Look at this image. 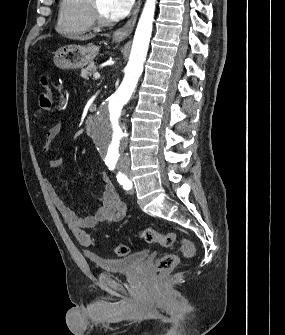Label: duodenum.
<instances>
[{
	"instance_id": "duodenum-1",
	"label": "duodenum",
	"mask_w": 285,
	"mask_h": 335,
	"mask_svg": "<svg viewBox=\"0 0 285 335\" xmlns=\"http://www.w3.org/2000/svg\"><path fill=\"white\" fill-rule=\"evenodd\" d=\"M94 119L92 117H88L85 121V129L88 133L92 131Z\"/></svg>"
}]
</instances>
